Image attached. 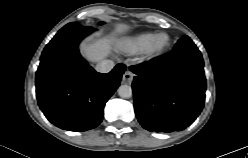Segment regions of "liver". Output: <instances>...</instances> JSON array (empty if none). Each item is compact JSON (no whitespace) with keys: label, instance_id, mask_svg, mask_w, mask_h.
Returning <instances> with one entry per match:
<instances>
[{"label":"liver","instance_id":"liver-1","mask_svg":"<svg viewBox=\"0 0 248 158\" xmlns=\"http://www.w3.org/2000/svg\"><path fill=\"white\" fill-rule=\"evenodd\" d=\"M129 29V25L118 23L115 26V33H125ZM114 42L115 37L113 35L110 37L97 39L95 41L87 40L81 45V53L90 62H100L109 55Z\"/></svg>","mask_w":248,"mask_h":158}]
</instances>
